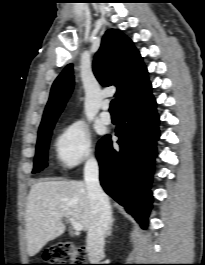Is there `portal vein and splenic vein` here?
I'll return each instance as SVG.
<instances>
[{"instance_id":"obj_1","label":"portal vein and splenic vein","mask_w":205,"mask_h":265,"mask_svg":"<svg viewBox=\"0 0 205 265\" xmlns=\"http://www.w3.org/2000/svg\"><path fill=\"white\" fill-rule=\"evenodd\" d=\"M69 222L76 232H80L83 229L82 225L79 222H76L74 219L69 218Z\"/></svg>"}]
</instances>
